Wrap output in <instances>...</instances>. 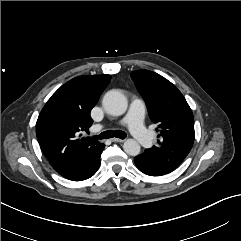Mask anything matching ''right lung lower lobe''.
<instances>
[{
	"label": "right lung lower lobe",
	"instance_id": "98d812e1",
	"mask_svg": "<svg viewBox=\"0 0 241 241\" xmlns=\"http://www.w3.org/2000/svg\"><path fill=\"white\" fill-rule=\"evenodd\" d=\"M104 146L98 150L90 159L83 160L62 174L66 179L82 181L92 177L100 166V156Z\"/></svg>",
	"mask_w": 241,
	"mask_h": 241
}]
</instances>
